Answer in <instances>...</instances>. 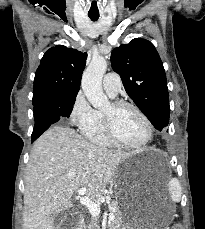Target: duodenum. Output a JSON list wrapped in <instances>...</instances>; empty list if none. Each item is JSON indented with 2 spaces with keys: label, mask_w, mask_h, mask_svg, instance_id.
<instances>
[{
  "label": "duodenum",
  "mask_w": 205,
  "mask_h": 229,
  "mask_svg": "<svg viewBox=\"0 0 205 229\" xmlns=\"http://www.w3.org/2000/svg\"><path fill=\"white\" fill-rule=\"evenodd\" d=\"M80 220H81V216L79 215V216L77 217L76 223L78 224V223L80 222ZM72 229H75V228H72Z\"/></svg>",
  "instance_id": "obj_1"
}]
</instances>
